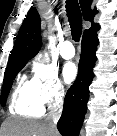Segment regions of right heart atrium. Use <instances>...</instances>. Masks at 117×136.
Instances as JSON below:
<instances>
[{"label":"right heart atrium","instance_id":"d8ad5b80","mask_svg":"<svg viewBox=\"0 0 117 136\" xmlns=\"http://www.w3.org/2000/svg\"><path fill=\"white\" fill-rule=\"evenodd\" d=\"M31 90L42 107H51L61 102L65 87L57 72L41 57L32 62Z\"/></svg>","mask_w":117,"mask_h":136}]
</instances>
